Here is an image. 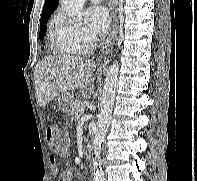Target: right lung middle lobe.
<instances>
[{"label":"right lung middle lobe","mask_w":197,"mask_h":181,"mask_svg":"<svg viewBox=\"0 0 197 181\" xmlns=\"http://www.w3.org/2000/svg\"><path fill=\"white\" fill-rule=\"evenodd\" d=\"M50 16H51V14L41 16V20H40L41 28H40V33H39L40 39L44 38V35L46 33V29H47L46 24H47V21L49 20Z\"/></svg>","instance_id":"obj_1"}]
</instances>
